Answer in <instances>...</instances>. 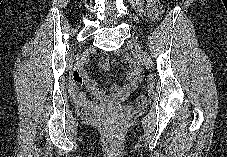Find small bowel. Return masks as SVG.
Wrapping results in <instances>:
<instances>
[{
	"label": "small bowel",
	"mask_w": 227,
	"mask_h": 157,
	"mask_svg": "<svg viewBox=\"0 0 227 157\" xmlns=\"http://www.w3.org/2000/svg\"><path fill=\"white\" fill-rule=\"evenodd\" d=\"M101 66L106 69L109 66L107 59L101 62ZM140 76V71L133 64H130V69L127 73V80L123 86H114L110 94H106L97 83L92 80L87 73L76 70L72 75L70 82V93L75 102L87 109H96L103 105L104 102L110 100H122L126 98L135 88ZM80 84H85L90 91L92 97H87L86 94L79 89Z\"/></svg>",
	"instance_id": "1"
}]
</instances>
